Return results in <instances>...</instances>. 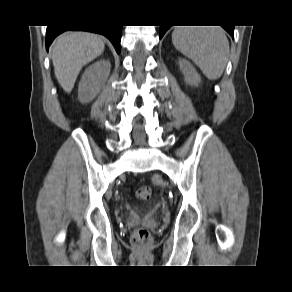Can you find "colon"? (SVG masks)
I'll return each mask as SVG.
<instances>
[{
  "label": "colon",
  "instance_id": "5ec220e1",
  "mask_svg": "<svg viewBox=\"0 0 292 292\" xmlns=\"http://www.w3.org/2000/svg\"><path fill=\"white\" fill-rule=\"evenodd\" d=\"M135 194L139 200H149L152 194V190L149 186L144 185L139 187ZM131 240L136 245H142L150 242L151 234L146 228L141 227L132 233Z\"/></svg>",
  "mask_w": 292,
  "mask_h": 292
}]
</instances>
